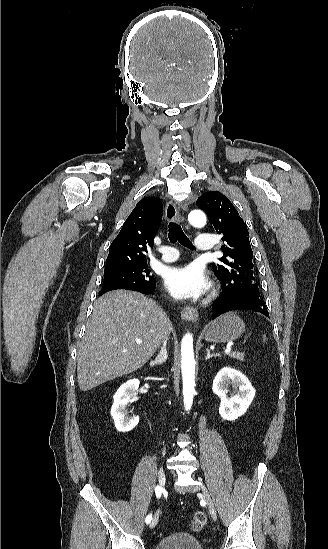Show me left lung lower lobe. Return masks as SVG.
<instances>
[{"instance_id":"obj_1","label":"left lung lower lobe","mask_w":328,"mask_h":549,"mask_svg":"<svg viewBox=\"0 0 328 549\" xmlns=\"http://www.w3.org/2000/svg\"><path fill=\"white\" fill-rule=\"evenodd\" d=\"M232 310H252L269 317L264 301L240 294H228L222 292L219 298L213 303L212 318L215 319L221 314Z\"/></svg>"}]
</instances>
